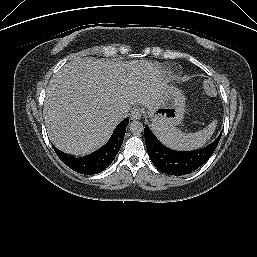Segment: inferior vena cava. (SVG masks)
I'll return each instance as SVG.
<instances>
[{"instance_id":"602c4592","label":"inferior vena cava","mask_w":257,"mask_h":257,"mask_svg":"<svg viewBox=\"0 0 257 257\" xmlns=\"http://www.w3.org/2000/svg\"><path fill=\"white\" fill-rule=\"evenodd\" d=\"M127 116H128V110L127 109H121L117 113V118L119 120H122V119L126 118Z\"/></svg>"}]
</instances>
